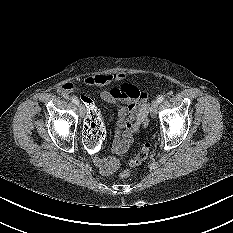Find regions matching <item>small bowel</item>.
<instances>
[{
  "label": "small bowel",
  "instance_id": "obj_1",
  "mask_svg": "<svg viewBox=\"0 0 233 233\" xmlns=\"http://www.w3.org/2000/svg\"><path fill=\"white\" fill-rule=\"evenodd\" d=\"M124 77L122 73L96 75L87 78L85 85L87 87H104L112 83L121 82ZM58 92L63 96H67L77 93V89L73 84L65 83L58 89ZM100 98L107 103L117 106V123L112 142V151L116 154H122L132 143L134 134L138 132L142 120L148 114V96L136 86L123 83L110 90L101 91ZM93 162L102 175H111L120 166L116 158H104L96 154L93 157Z\"/></svg>",
  "mask_w": 233,
  "mask_h": 233
}]
</instances>
